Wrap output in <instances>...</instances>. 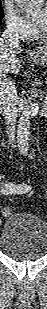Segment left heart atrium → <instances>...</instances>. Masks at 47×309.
Segmentation results:
<instances>
[{
	"label": "left heart atrium",
	"instance_id": "obj_1",
	"mask_svg": "<svg viewBox=\"0 0 47 309\" xmlns=\"http://www.w3.org/2000/svg\"><path fill=\"white\" fill-rule=\"evenodd\" d=\"M34 22L36 25L40 26L41 23L46 20V12L45 10H41L37 13L36 16L33 17Z\"/></svg>",
	"mask_w": 47,
	"mask_h": 309
}]
</instances>
